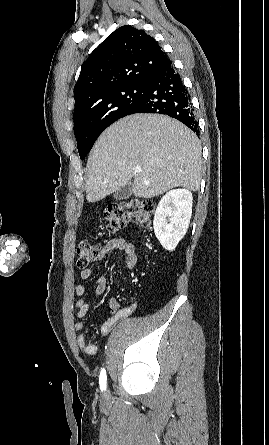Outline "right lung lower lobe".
<instances>
[{
  "mask_svg": "<svg viewBox=\"0 0 269 445\" xmlns=\"http://www.w3.org/2000/svg\"><path fill=\"white\" fill-rule=\"evenodd\" d=\"M145 85L146 90L139 104L130 114H165L181 121L198 135V124L193 114L190 95L171 61L157 69Z\"/></svg>",
  "mask_w": 269,
  "mask_h": 445,
  "instance_id": "right-lung-lower-lobe-1",
  "label": "right lung lower lobe"
}]
</instances>
